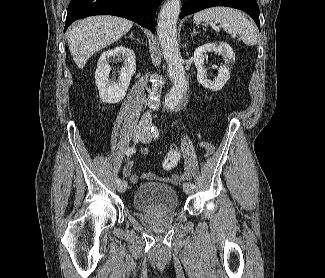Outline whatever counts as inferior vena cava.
I'll return each instance as SVG.
<instances>
[{"label": "inferior vena cava", "mask_w": 325, "mask_h": 278, "mask_svg": "<svg viewBox=\"0 0 325 278\" xmlns=\"http://www.w3.org/2000/svg\"><path fill=\"white\" fill-rule=\"evenodd\" d=\"M151 121V114H150V112H145L144 114H143V116H142V118H141V123L142 124H147V123H149Z\"/></svg>", "instance_id": "602c4592"}]
</instances>
